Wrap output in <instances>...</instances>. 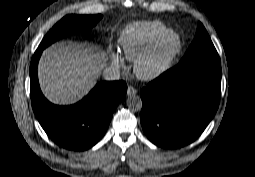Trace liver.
I'll use <instances>...</instances> for the list:
<instances>
[{
    "mask_svg": "<svg viewBox=\"0 0 255 177\" xmlns=\"http://www.w3.org/2000/svg\"><path fill=\"white\" fill-rule=\"evenodd\" d=\"M105 53L86 43L58 42L44 50L38 76L44 95L57 104L75 103L94 86L106 66Z\"/></svg>",
    "mask_w": 255,
    "mask_h": 177,
    "instance_id": "obj_1",
    "label": "liver"
}]
</instances>
